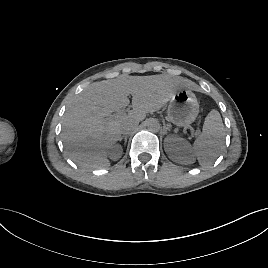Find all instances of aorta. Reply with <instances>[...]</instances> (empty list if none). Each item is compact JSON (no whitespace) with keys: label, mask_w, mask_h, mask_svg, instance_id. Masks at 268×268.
Listing matches in <instances>:
<instances>
[{"label":"aorta","mask_w":268,"mask_h":268,"mask_svg":"<svg viewBox=\"0 0 268 268\" xmlns=\"http://www.w3.org/2000/svg\"><path fill=\"white\" fill-rule=\"evenodd\" d=\"M146 127L150 132H158L161 128L159 121L155 118H150L146 121Z\"/></svg>","instance_id":"762f6f07"}]
</instances>
